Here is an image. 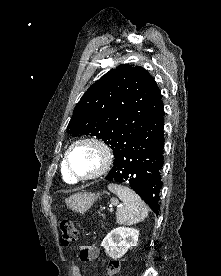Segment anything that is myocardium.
Masks as SVG:
<instances>
[{
  "label": "myocardium",
  "mask_w": 221,
  "mask_h": 276,
  "mask_svg": "<svg viewBox=\"0 0 221 276\" xmlns=\"http://www.w3.org/2000/svg\"><path fill=\"white\" fill-rule=\"evenodd\" d=\"M79 145L94 146L101 154V164L99 168L92 174L80 176L73 172L70 165V154L72 150ZM113 162V154L109 145L103 140L96 137H83L75 140L67 148L64 156V165L68 175L75 181H89L97 179L108 172Z\"/></svg>",
  "instance_id": "1"
}]
</instances>
